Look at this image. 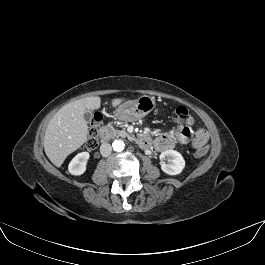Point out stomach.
Masks as SVG:
<instances>
[{
	"label": "stomach",
	"instance_id": "0dacf381",
	"mask_svg": "<svg viewBox=\"0 0 265 265\" xmlns=\"http://www.w3.org/2000/svg\"><path fill=\"white\" fill-rule=\"evenodd\" d=\"M155 106L154 97L143 95L137 100H129L119 105L115 117L129 122L137 121L149 114Z\"/></svg>",
	"mask_w": 265,
	"mask_h": 265
}]
</instances>
